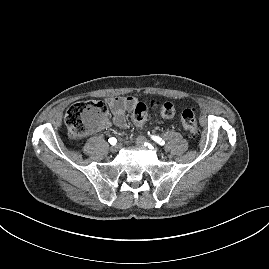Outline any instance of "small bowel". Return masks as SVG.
Returning a JSON list of instances; mask_svg holds the SVG:
<instances>
[{"mask_svg": "<svg viewBox=\"0 0 269 269\" xmlns=\"http://www.w3.org/2000/svg\"><path fill=\"white\" fill-rule=\"evenodd\" d=\"M138 103V99L135 96L125 97H110L106 99L110 111L113 114V124L121 129L127 128L126 113L134 110ZM111 125V122L105 120L100 128H107Z\"/></svg>", "mask_w": 269, "mask_h": 269, "instance_id": "small-bowel-1", "label": "small bowel"}]
</instances>
